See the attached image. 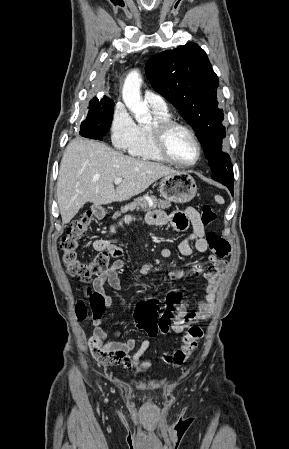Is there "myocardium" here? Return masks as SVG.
<instances>
[{"label": "myocardium", "instance_id": "myocardium-1", "mask_svg": "<svg viewBox=\"0 0 289 449\" xmlns=\"http://www.w3.org/2000/svg\"><path fill=\"white\" fill-rule=\"evenodd\" d=\"M181 129L184 130L193 140L197 148V157L191 163H184L177 159H175L169 151L168 147V136L169 134L175 130ZM150 132L152 135L154 146L157 152L164 158L166 161L171 162L180 167H192L196 165L201 157H202V145L196 135V133L187 125L178 122L173 119H157L150 126Z\"/></svg>", "mask_w": 289, "mask_h": 449}]
</instances>
